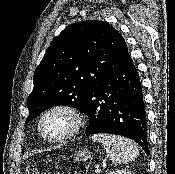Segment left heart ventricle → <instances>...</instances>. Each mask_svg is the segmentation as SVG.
<instances>
[{
    "mask_svg": "<svg viewBox=\"0 0 175 174\" xmlns=\"http://www.w3.org/2000/svg\"><path fill=\"white\" fill-rule=\"evenodd\" d=\"M73 125L71 116L65 112H53L43 123V131L49 137H59L67 133Z\"/></svg>",
    "mask_w": 175,
    "mask_h": 174,
    "instance_id": "left-heart-ventricle-1",
    "label": "left heart ventricle"
}]
</instances>
